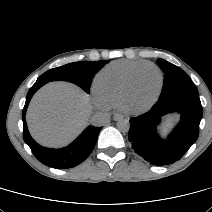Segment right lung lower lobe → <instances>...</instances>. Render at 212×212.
<instances>
[{
  "label": "right lung lower lobe",
  "instance_id": "right-lung-lower-lobe-1",
  "mask_svg": "<svg viewBox=\"0 0 212 212\" xmlns=\"http://www.w3.org/2000/svg\"><path fill=\"white\" fill-rule=\"evenodd\" d=\"M44 84H46L44 81H36L27 94L25 106L22 112L23 139L30 147L34 156L44 165L56 169L72 168L83 162L90 155L102 128L93 126L87 127L74 142L62 149H49L37 144L29 134L25 114L30 99Z\"/></svg>",
  "mask_w": 212,
  "mask_h": 212
}]
</instances>
